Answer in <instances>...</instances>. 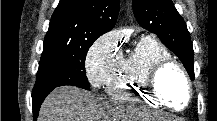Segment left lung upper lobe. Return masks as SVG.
I'll list each match as a JSON object with an SVG mask.
<instances>
[{"label":"left lung upper lobe","instance_id":"left-lung-upper-lobe-1","mask_svg":"<svg viewBox=\"0 0 217 121\" xmlns=\"http://www.w3.org/2000/svg\"><path fill=\"white\" fill-rule=\"evenodd\" d=\"M141 27L155 33L175 53L194 80V51L186 23L172 0H132Z\"/></svg>","mask_w":217,"mask_h":121}]
</instances>
